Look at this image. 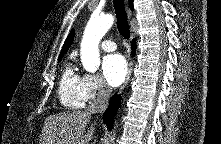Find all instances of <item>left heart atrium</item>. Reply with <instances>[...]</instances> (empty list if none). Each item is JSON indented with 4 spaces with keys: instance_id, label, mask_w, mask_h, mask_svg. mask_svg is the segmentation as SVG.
Listing matches in <instances>:
<instances>
[{
    "instance_id": "obj_1",
    "label": "left heart atrium",
    "mask_w": 221,
    "mask_h": 144,
    "mask_svg": "<svg viewBox=\"0 0 221 144\" xmlns=\"http://www.w3.org/2000/svg\"><path fill=\"white\" fill-rule=\"evenodd\" d=\"M102 72L105 81L112 87L122 84L127 75V64L119 54L108 55L103 59Z\"/></svg>"
}]
</instances>
